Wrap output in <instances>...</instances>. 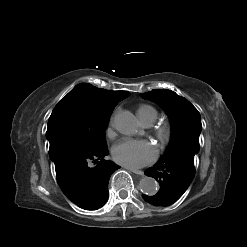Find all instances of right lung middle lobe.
Instances as JSON below:
<instances>
[{
  "label": "right lung middle lobe",
  "instance_id": "dd1d6c3e",
  "mask_svg": "<svg viewBox=\"0 0 247 247\" xmlns=\"http://www.w3.org/2000/svg\"><path fill=\"white\" fill-rule=\"evenodd\" d=\"M112 111L95 107L82 95L69 92L52 111L46 137L49 142H68L89 151L105 149V129Z\"/></svg>",
  "mask_w": 247,
  "mask_h": 247
}]
</instances>
